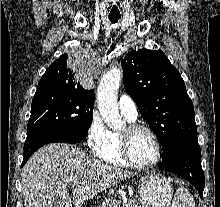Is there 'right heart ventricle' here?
Listing matches in <instances>:
<instances>
[{
	"mask_svg": "<svg viewBox=\"0 0 220 207\" xmlns=\"http://www.w3.org/2000/svg\"><path fill=\"white\" fill-rule=\"evenodd\" d=\"M127 118V117H126ZM129 121L131 119L127 118ZM95 156L100 160L115 166L127 167L129 164L123 159L119 149V134L110 132L106 145L96 151Z\"/></svg>",
	"mask_w": 220,
	"mask_h": 207,
	"instance_id": "e07e8e85",
	"label": "right heart ventricle"
}]
</instances>
